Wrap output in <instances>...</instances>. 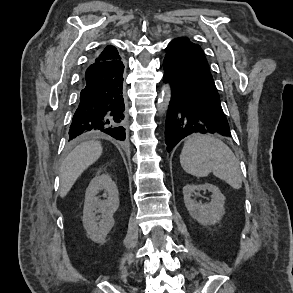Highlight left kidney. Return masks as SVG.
<instances>
[{
	"label": "left kidney",
	"mask_w": 293,
	"mask_h": 293,
	"mask_svg": "<svg viewBox=\"0 0 293 293\" xmlns=\"http://www.w3.org/2000/svg\"><path fill=\"white\" fill-rule=\"evenodd\" d=\"M208 190L212 193V200L203 204L192 199V194L196 191ZM184 203L191 217L202 225H214L222 219L225 214V197L215 185L205 184H187L183 187Z\"/></svg>",
	"instance_id": "obj_1"
}]
</instances>
